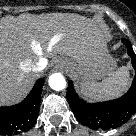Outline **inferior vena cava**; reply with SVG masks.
<instances>
[{"label": "inferior vena cava", "mask_w": 136, "mask_h": 136, "mask_svg": "<svg viewBox=\"0 0 136 136\" xmlns=\"http://www.w3.org/2000/svg\"><path fill=\"white\" fill-rule=\"evenodd\" d=\"M46 64H47V60L45 58H41L37 62H35L32 70L33 71H40L46 67Z\"/></svg>", "instance_id": "1"}]
</instances>
